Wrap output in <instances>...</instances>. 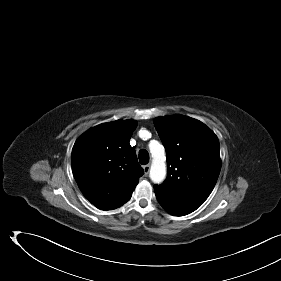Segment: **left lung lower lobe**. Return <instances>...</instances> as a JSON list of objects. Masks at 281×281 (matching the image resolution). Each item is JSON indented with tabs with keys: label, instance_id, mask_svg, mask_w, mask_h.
Wrapping results in <instances>:
<instances>
[{
	"label": "left lung lower lobe",
	"instance_id": "left-lung-lower-lobe-1",
	"mask_svg": "<svg viewBox=\"0 0 281 281\" xmlns=\"http://www.w3.org/2000/svg\"><path fill=\"white\" fill-rule=\"evenodd\" d=\"M155 194L161 206L168 213L175 216L190 214L202 205V203L192 201L188 196L182 193H165L155 191Z\"/></svg>",
	"mask_w": 281,
	"mask_h": 281
}]
</instances>
